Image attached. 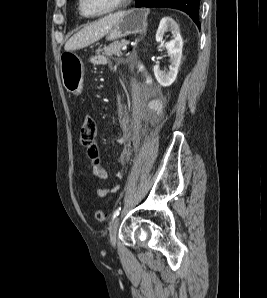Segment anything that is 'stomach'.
<instances>
[{
	"mask_svg": "<svg viewBox=\"0 0 267 298\" xmlns=\"http://www.w3.org/2000/svg\"><path fill=\"white\" fill-rule=\"evenodd\" d=\"M148 9H131L123 11L116 24L108 31V40H117L131 34H142L146 31ZM60 70L65 89L79 95L83 89L84 71L79 57L72 52H64L60 56Z\"/></svg>",
	"mask_w": 267,
	"mask_h": 298,
	"instance_id": "0dacf381",
	"label": "stomach"
}]
</instances>
